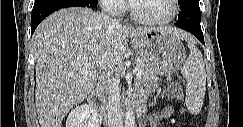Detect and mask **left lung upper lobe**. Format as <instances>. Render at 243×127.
Here are the masks:
<instances>
[{
  "label": "left lung upper lobe",
  "mask_w": 243,
  "mask_h": 127,
  "mask_svg": "<svg viewBox=\"0 0 243 127\" xmlns=\"http://www.w3.org/2000/svg\"><path fill=\"white\" fill-rule=\"evenodd\" d=\"M188 1H196V0H179V4L182 5Z\"/></svg>",
  "instance_id": "left-lung-upper-lobe-1"
}]
</instances>
